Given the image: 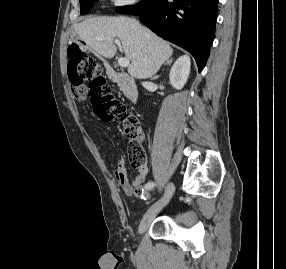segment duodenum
Wrapping results in <instances>:
<instances>
[{
  "label": "duodenum",
  "instance_id": "1",
  "mask_svg": "<svg viewBox=\"0 0 286 269\" xmlns=\"http://www.w3.org/2000/svg\"><path fill=\"white\" fill-rule=\"evenodd\" d=\"M107 76L117 83L130 103H136L138 88L135 81L125 72L117 71L112 65H107Z\"/></svg>",
  "mask_w": 286,
  "mask_h": 269
}]
</instances>
